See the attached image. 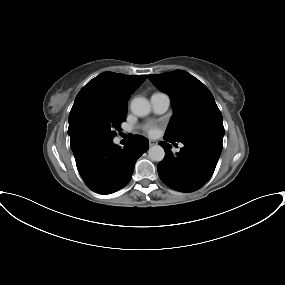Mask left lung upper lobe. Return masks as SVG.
<instances>
[{"label":"left lung upper lobe","mask_w":285,"mask_h":285,"mask_svg":"<svg viewBox=\"0 0 285 285\" xmlns=\"http://www.w3.org/2000/svg\"><path fill=\"white\" fill-rule=\"evenodd\" d=\"M148 78L172 100L174 113L165 132L167 138L175 142L213 139L222 143L225 133L222 114L202 82L183 70Z\"/></svg>","instance_id":"1"}]
</instances>
